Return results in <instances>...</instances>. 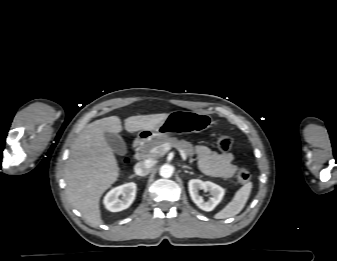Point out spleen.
Listing matches in <instances>:
<instances>
[{"instance_id": "3e777b00", "label": "spleen", "mask_w": 337, "mask_h": 261, "mask_svg": "<svg viewBox=\"0 0 337 261\" xmlns=\"http://www.w3.org/2000/svg\"><path fill=\"white\" fill-rule=\"evenodd\" d=\"M252 190V183L244 184L221 211L215 214L216 219H225L239 214L244 208Z\"/></svg>"}]
</instances>
